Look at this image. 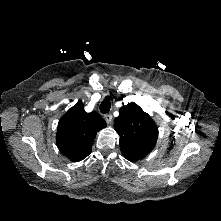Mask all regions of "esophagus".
<instances>
[{"label":"esophagus","mask_w":221,"mask_h":221,"mask_svg":"<svg viewBox=\"0 0 221 221\" xmlns=\"http://www.w3.org/2000/svg\"><path fill=\"white\" fill-rule=\"evenodd\" d=\"M104 119L107 123H110L113 119V116L111 114H105Z\"/></svg>","instance_id":"1"}]
</instances>
